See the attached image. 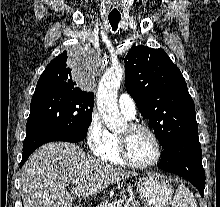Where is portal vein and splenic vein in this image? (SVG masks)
<instances>
[{"label": "portal vein and splenic vein", "mask_w": 220, "mask_h": 207, "mask_svg": "<svg viewBox=\"0 0 220 207\" xmlns=\"http://www.w3.org/2000/svg\"><path fill=\"white\" fill-rule=\"evenodd\" d=\"M77 184H79V180H73L72 181V185L76 186ZM123 203V200H117L115 202H112L110 204H108L107 207H120V205Z\"/></svg>", "instance_id": "1"}]
</instances>
